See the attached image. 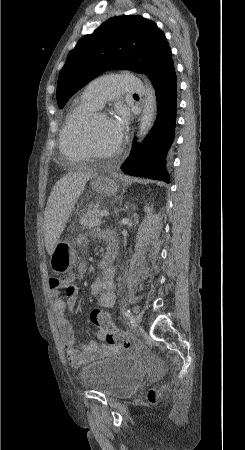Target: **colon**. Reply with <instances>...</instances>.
<instances>
[{
	"instance_id": "obj_1",
	"label": "colon",
	"mask_w": 245,
	"mask_h": 450,
	"mask_svg": "<svg viewBox=\"0 0 245 450\" xmlns=\"http://www.w3.org/2000/svg\"><path fill=\"white\" fill-rule=\"evenodd\" d=\"M67 277H63L62 281H66ZM91 322L104 332V339L106 342L120 347H129L130 339L121 330L115 327L110 316L103 309H94L91 313ZM162 389H150L147 393V398L151 402H155Z\"/></svg>"
}]
</instances>
